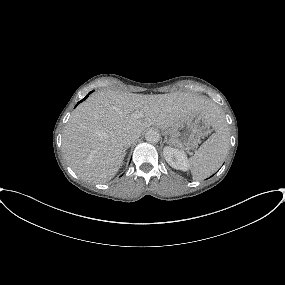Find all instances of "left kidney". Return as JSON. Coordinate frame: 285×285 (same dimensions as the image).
I'll list each match as a JSON object with an SVG mask.
<instances>
[{
  "instance_id": "obj_1",
  "label": "left kidney",
  "mask_w": 285,
  "mask_h": 285,
  "mask_svg": "<svg viewBox=\"0 0 285 285\" xmlns=\"http://www.w3.org/2000/svg\"><path fill=\"white\" fill-rule=\"evenodd\" d=\"M163 156L167 163L177 170L187 171L189 162L186 154L172 147H165L163 149Z\"/></svg>"
}]
</instances>
